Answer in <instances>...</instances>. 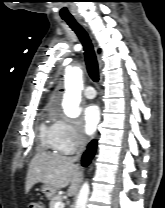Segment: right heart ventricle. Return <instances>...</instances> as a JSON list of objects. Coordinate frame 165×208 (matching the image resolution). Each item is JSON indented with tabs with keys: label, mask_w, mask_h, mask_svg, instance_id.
I'll return each mask as SVG.
<instances>
[{
	"label": "right heart ventricle",
	"mask_w": 165,
	"mask_h": 208,
	"mask_svg": "<svg viewBox=\"0 0 165 208\" xmlns=\"http://www.w3.org/2000/svg\"><path fill=\"white\" fill-rule=\"evenodd\" d=\"M40 130H41V139L43 144L48 148L55 149L51 141V126L48 127L46 124H42Z\"/></svg>",
	"instance_id": "obj_1"
}]
</instances>
